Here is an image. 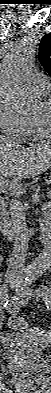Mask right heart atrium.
Listing matches in <instances>:
<instances>
[{"label":"right heart atrium","instance_id":"1","mask_svg":"<svg viewBox=\"0 0 51 393\" xmlns=\"http://www.w3.org/2000/svg\"><path fill=\"white\" fill-rule=\"evenodd\" d=\"M27 118L19 114L10 103L0 99V131L14 138L26 137Z\"/></svg>","mask_w":51,"mask_h":393}]
</instances>
